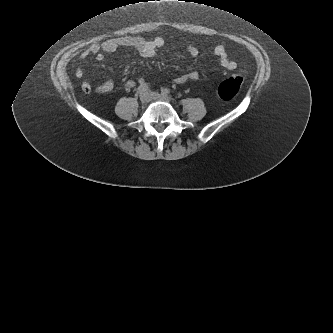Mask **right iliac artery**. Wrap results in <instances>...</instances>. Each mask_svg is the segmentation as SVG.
<instances>
[{"mask_svg": "<svg viewBox=\"0 0 333 333\" xmlns=\"http://www.w3.org/2000/svg\"><path fill=\"white\" fill-rule=\"evenodd\" d=\"M148 90V86H143V85H140L137 89V93L138 94H142L143 92L147 91Z\"/></svg>", "mask_w": 333, "mask_h": 333, "instance_id": "obj_1", "label": "right iliac artery"}]
</instances>
